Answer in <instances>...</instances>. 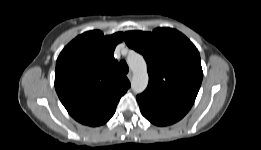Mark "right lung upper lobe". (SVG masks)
<instances>
[{"instance_id": "obj_1", "label": "right lung upper lobe", "mask_w": 261, "mask_h": 150, "mask_svg": "<svg viewBox=\"0 0 261 150\" xmlns=\"http://www.w3.org/2000/svg\"><path fill=\"white\" fill-rule=\"evenodd\" d=\"M123 38L122 32L104 36L99 30L89 31L77 36L60 53L55 89L78 122L89 126L106 123L130 87L113 56Z\"/></svg>"}]
</instances>
